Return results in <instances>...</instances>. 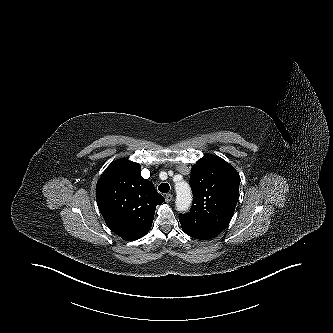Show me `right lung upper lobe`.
Returning a JSON list of instances; mask_svg holds the SVG:
<instances>
[{"mask_svg": "<svg viewBox=\"0 0 333 333\" xmlns=\"http://www.w3.org/2000/svg\"><path fill=\"white\" fill-rule=\"evenodd\" d=\"M96 197L107 226L125 240L143 237L151 228L156 206L165 201L153 183L141 176L140 165L124 159L104 171Z\"/></svg>", "mask_w": 333, "mask_h": 333, "instance_id": "obj_1", "label": "right lung upper lobe"}]
</instances>
